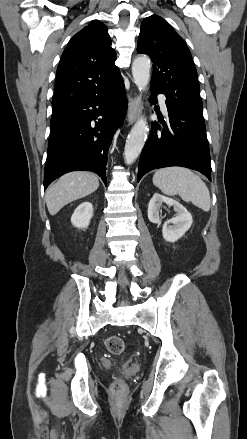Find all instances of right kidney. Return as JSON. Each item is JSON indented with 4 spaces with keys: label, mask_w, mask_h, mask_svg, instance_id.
<instances>
[{
    "label": "right kidney",
    "mask_w": 247,
    "mask_h": 439,
    "mask_svg": "<svg viewBox=\"0 0 247 439\" xmlns=\"http://www.w3.org/2000/svg\"><path fill=\"white\" fill-rule=\"evenodd\" d=\"M93 216V205L90 202L81 203L71 216V223L77 228H87Z\"/></svg>",
    "instance_id": "right-kidney-1"
}]
</instances>
